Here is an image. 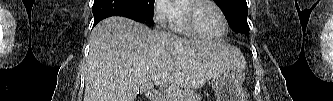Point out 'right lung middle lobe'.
I'll use <instances>...</instances> for the list:
<instances>
[{
    "label": "right lung middle lobe",
    "instance_id": "obj_1",
    "mask_svg": "<svg viewBox=\"0 0 333 101\" xmlns=\"http://www.w3.org/2000/svg\"><path fill=\"white\" fill-rule=\"evenodd\" d=\"M154 1L155 0H131V2H133L138 7L144 16L145 21L150 24H153Z\"/></svg>",
    "mask_w": 333,
    "mask_h": 101
}]
</instances>
